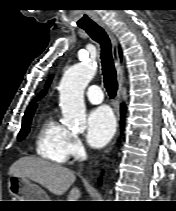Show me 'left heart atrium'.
Returning <instances> with one entry per match:
<instances>
[{
  "label": "left heart atrium",
  "instance_id": "39dd6f15",
  "mask_svg": "<svg viewBox=\"0 0 176 211\" xmlns=\"http://www.w3.org/2000/svg\"><path fill=\"white\" fill-rule=\"evenodd\" d=\"M116 128L113 114L106 107L90 112L87 118L86 139L93 147H102L112 138Z\"/></svg>",
  "mask_w": 176,
  "mask_h": 211
}]
</instances>
